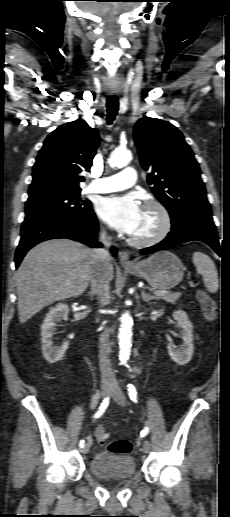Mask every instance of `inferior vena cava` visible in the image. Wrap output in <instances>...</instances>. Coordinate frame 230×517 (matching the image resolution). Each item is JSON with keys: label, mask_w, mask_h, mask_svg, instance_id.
Masks as SVG:
<instances>
[{"label": "inferior vena cava", "mask_w": 230, "mask_h": 517, "mask_svg": "<svg viewBox=\"0 0 230 517\" xmlns=\"http://www.w3.org/2000/svg\"><path fill=\"white\" fill-rule=\"evenodd\" d=\"M110 237L107 236L105 230L100 234V242L103 243L104 248L95 249V255L98 259V266L90 279L92 293L98 296V300L102 305H106L110 301V277L108 269L110 268V257L108 248L110 246ZM110 330L105 328L100 335L99 343V363L101 370V377L104 380H113L115 378L111 362L110 352L111 346L109 342Z\"/></svg>", "instance_id": "inferior-vena-cava-1"}]
</instances>
